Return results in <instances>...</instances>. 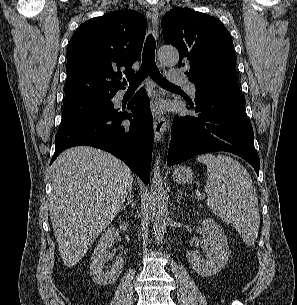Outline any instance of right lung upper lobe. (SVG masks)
Returning <instances> with one entry per match:
<instances>
[{
  "mask_svg": "<svg viewBox=\"0 0 297 305\" xmlns=\"http://www.w3.org/2000/svg\"><path fill=\"white\" fill-rule=\"evenodd\" d=\"M144 16L132 10L114 11L81 24L67 49L64 102L124 88L122 73L132 74L146 33Z\"/></svg>",
  "mask_w": 297,
  "mask_h": 305,
  "instance_id": "1",
  "label": "right lung upper lobe"
}]
</instances>
